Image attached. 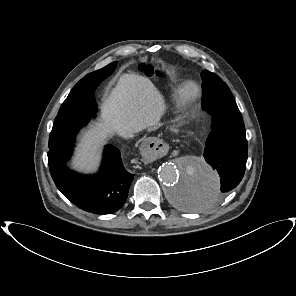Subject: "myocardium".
I'll list each match as a JSON object with an SVG mask.
<instances>
[{"mask_svg": "<svg viewBox=\"0 0 296 296\" xmlns=\"http://www.w3.org/2000/svg\"><path fill=\"white\" fill-rule=\"evenodd\" d=\"M199 87L193 81L184 82L177 90V97L181 103H189L196 99Z\"/></svg>", "mask_w": 296, "mask_h": 296, "instance_id": "obj_1", "label": "myocardium"}]
</instances>
